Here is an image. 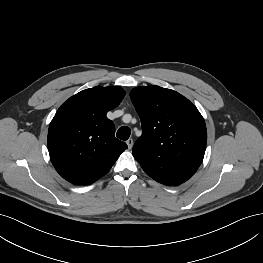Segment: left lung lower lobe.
<instances>
[{
    "label": "left lung lower lobe",
    "instance_id": "1",
    "mask_svg": "<svg viewBox=\"0 0 263 263\" xmlns=\"http://www.w3.org/2000/svg\"><path fill=\"white\" fill-rule=\"evenodd\" d=\"M193 174L184 171L182 169L167 166L163 167L155 176L152 178L159 183L169 186H176L191 178Z\"/></svg>",
    "mask_w": 263,
    "mask_h": 263
}]
</instances>
